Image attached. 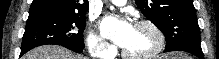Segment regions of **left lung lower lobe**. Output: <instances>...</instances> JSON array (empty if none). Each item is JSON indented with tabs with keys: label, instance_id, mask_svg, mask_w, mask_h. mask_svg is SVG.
I'll return each instance as SVG.
<instances>
[{
	"label": "left lung lower lobe",
	"instance_id": "0a47b994",
	"mask_svg": "<svg viewBox=\"0 0 219 59\" xmlns=\"http://www.w3.org/2000/svg\"><path fill=\"white\" fill-rule=\"evenodd\" d=\"M171 51H185L197 56L199 59H204L200 40H183L164 50V52Z\"/></svg>",
	"mask_w": 219,
	"mask_h": 59
}]
</instances>
